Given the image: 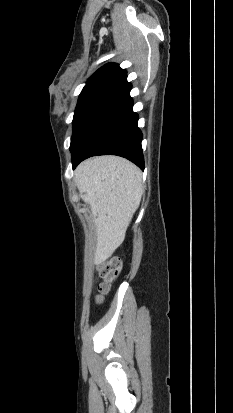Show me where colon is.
I'll return each instance as SVG.
<instances>
[{
	"label": "colon",
	"instance_id": "5ec220e1",
	"mask_svg": "<svg viewBox=\"0 0 233 413\" xmlns=\"http://www.w3.org/2000/svg\"><path fill=\"white\" fill-rule=\"evenodd\" d=\"M120 269L121 263L117 258H112L99 265V274L103 279L102 283L99 285V295L97 297L99 302H101L104 295L109 292L111 283L119 275Z\"/></svg>",
	"mask_w": 233,
	"mask_h": 413
}]
</instances>
